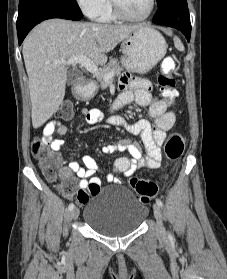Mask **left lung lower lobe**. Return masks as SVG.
Wrapping results in <instances>:
<instances>
[{"label": "left lung lower lobe", "instance_id": "left-lung-lower-lobe-1", "mask_svg": "<svg viewBox=\"0 0 227 279\" xmlns=\"http://www.w3.org/2000/svg\"><path fill=\"white\" fill-rule=\"evenodd\" d=\"M152 22L176 28L190 41L191 23L186 0H167L159 6Z\"/></svg>", "mask_w": 227, "mask_h": 279}]
</instances>
